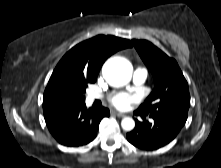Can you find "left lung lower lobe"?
<instances>
[{"label":"left lung lower lobe","instance_id":"0a47b994","mask_svg":"<svg viewBox=\"0 0 221 168\" xmlns=\"http://www.w3.org/2000/svg\"><path fill=\"white\" fill-rule=\"evenodd\" d=\"M144 121L137 119L135 128L127 133V140L135 147L155 150L170 143L179 133L185 123L169 117H151L153 123L145 120V115L135 111Z\"/></svg>","mask_w":221,"mask_h":168}]
</instances>
